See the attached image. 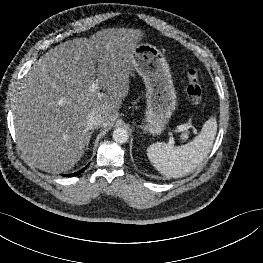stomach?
Here are the masks:
<instances>
[{
    "instance_id": "obj_1",
    "label": "stomach",
    "mask_w": 263,
    "mask_h": 263,
    "mask_svg": "<svg viewBox=\"0 0 263 263\" xmlns=\"http://www.w3.org/2000/svg\"><path fill=\"white\" fill-rule=\"evenodd\" d=\"M132 66L142 77L146 88L144 133L161 135L178 105L169 64L155 46L139 43L132 52Z\"/></svg>"
}]
</instances>
